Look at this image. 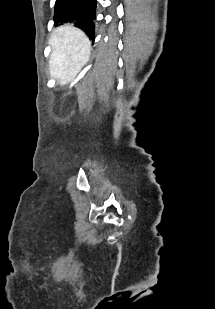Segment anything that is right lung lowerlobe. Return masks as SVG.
I'll use <instances>...</instances> for the list:
<instances>
[{
	"instance_id": "1",
	"label": "right lung lower lobe",
	"mask_w": 215,
	"mask_h": 309,
	"mask_svg": "<svg viewBox=\"0 0 215 309\" xmlns=\"http://www.w3.org/2000/svg\"><path fill=\"white\" fill-rule=\"evenodd\" d=\"M97 0H56L54 22L73 23L94 41Z\"/></svg>"
}]
</instances>
